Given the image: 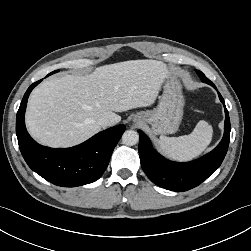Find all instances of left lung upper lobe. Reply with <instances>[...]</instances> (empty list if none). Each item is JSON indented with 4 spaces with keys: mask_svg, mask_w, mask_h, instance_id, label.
<instances>
[{
    "mask_svg": "<svg viewBox=\"0 0 251 251\" xmlns=\"http://www.w3.org/2000/svg\"><path fill=\"white\" fill-rule=\"evenodd\" d=\"M196 72L204 83H208L210 81L208 78L205 77V75L201 71L196 70Z\"/></svg>",
    "mask_w": 251,
    "mask_h": 251,
    "instance_id": "1",
    "label": "left lung upper lobe"
}]
</instances>
